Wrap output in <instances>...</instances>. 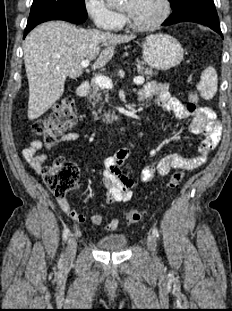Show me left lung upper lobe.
I'll use <instances>...</instances> for the list:
<instances>
[{
    "instance_id": "1",
    "label": "left lung upper lobe",
    "mask_w": 232,
    "mask_h": 311,
    "mask_svg": "<svg viewBox=\"0 0 232 311\" xmlns=\"http://www.w3.org/2000/svg\"><path fill=\"white\" fill-rule=\"evenodd\" d=\"M171 3L172 8H174L182 0H168Z\"/></svg>"
}]
</instances>
